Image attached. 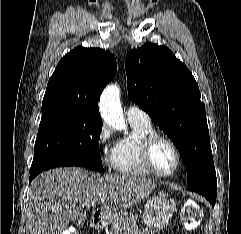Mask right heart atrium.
I'll return each mask as SVG.
<instances>
[{
    "label": "right heart atrium",
    "mask_w": 241,
    "mask_h": 234,
    "mask_svg": "<svg viewBox=\"0 0 241 234\" xmlns=\"http://www.w3.org/2000/svg\"><path fill=\"white\" fill-rule=\"evenodd\" d=\"M112 136L113 132L111 128L106 124H102L97 134V145L106 165H111V154L113 149Z\"/></svg>",
    "instance_id": "obj_1"
}]
</instances>
